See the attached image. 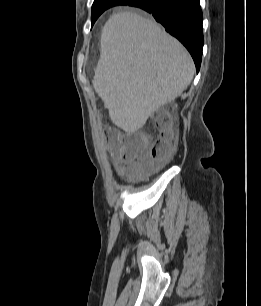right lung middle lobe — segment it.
I'll return each instance as SVG.
<instances>
[{"label": "right lung middle lobe", "instance_id": "1", "mask_svg": "<svg viewBox=\"0 0 261 306\" xmlns=\"http://www.w3.org/2000/svg\"><path fill=\"white\" fill-rule=\"evenodd\" d=\"M125 2H127V0H105V1H100L98 3H93L92 18H91L92 25L105 10L113 6L123 5Z\"/></svg>", "mask_w": 261, "mask_h": 306}]
</instances>
